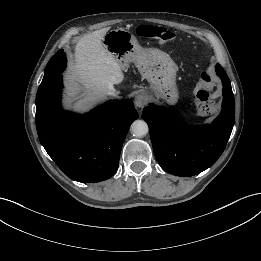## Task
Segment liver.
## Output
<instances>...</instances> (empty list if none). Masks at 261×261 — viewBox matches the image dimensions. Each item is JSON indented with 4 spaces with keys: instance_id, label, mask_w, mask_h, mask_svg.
Returning a JSON list of instances; mask_svg holds the SVG:
<instances>
[{
    "instance_id": "6515ba94",
    "label": "liver",
    "mask_w": 261,
    "mask_h": 261,
    "mask_svg": "<svg viewBox=\"0 0 261 261\" xmlns=\"http://www.w3.org/2000/svg\"><path fill=\"white\" fill-rule=\"evenodd\" d=\"M106 32L107 29H101L88 34L75 46V59L67 75L66 88L68 94L78 100L76 109H88L124 80L121 66L102 44Z\"/></svg>"
}]
</instances>
